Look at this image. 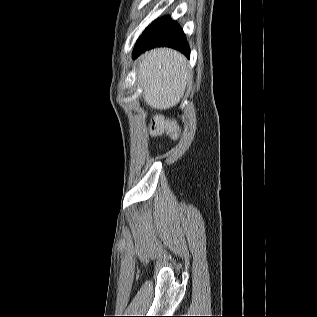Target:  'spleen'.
Returning <instances> with one entry per match:
<instances>
[{"label": "spleen", "mask_w": 317, "mask_h": 317, "mask_svg": "<svg viewBox=\"0 0 317 317\" xmlns=\"http://www.w3.org/2000/svg\"><path fill=\"white\" fill-rule=\"evenodd\" d=\"M138 79L146 103L155 109H167L183 97L190 73L183 55L170 49H157L140 59Z\"/></svg>", "instance_id": "spleen-1"}]
</instances>
